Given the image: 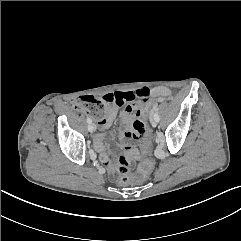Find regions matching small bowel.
<instances>
[{"label":"small bowel","mask_w":241,"mask_h":241,"mask_svg":"<svg viewBox=\"0 0 241 241\" xmlns=\"http://www.w3.org/2000/svg\"><path fill=\"white\" fill-rule=\"evenodd\" d=\"M171 94V91L166 87H158L150 91V89L142 85L136 91L115 92L111 95L115 98L116 103L111 109L110 114L104 120L100 121V127L107 129L119 108L121 109L120 116L123 125V150L127 157L135 158L138 154L136 147L131 143L139 139H143V121L140 117L141 105L148 101L152 96L165 97ZM106 134L98 132L94 137V145L99 153L102 164L107 168L108 174L114 178L117 172L116 166L112 165L105 147Z\"/></svg>","instance_id":"1"}]
</instances>
